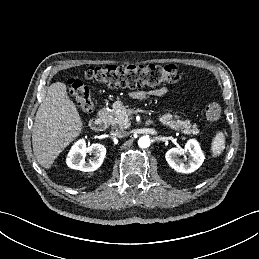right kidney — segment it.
Returning <instances> with one entry per match:
<instances>
[{"label":"right kidney","instance_id":"right-kidney-1","mask_svg":"<svg viewBox=\"0 0 259 259\" xmlns=\"http://www.w3.org/2000/svg\"><path fill=\"white\" fill-rule=\"evenodd\" d=\"M93 154L94 158H90L88 162L85 161L86 154ZM106 155V148L102 144H92L86 146L85 140H78L71 148L66 159L67 165L76 170L83 172H91L97 170Z\"/></svg>","mask_w":259,"mask_h":259}]
</instances>
